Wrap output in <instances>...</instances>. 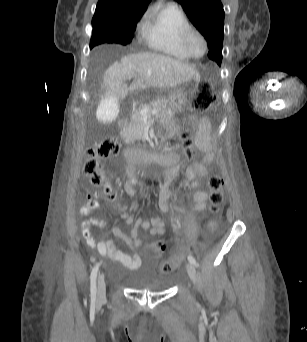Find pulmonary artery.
Returning <instances> with one entry per match:
<instances>
[{"label": "pulmonary artery", "instance_id": "1", "mask_svg": "<svg viewBox=\"0 0 307 342\" xmlns=\"http://www.w3.org/2000/svg\"><path fill=\"white\" fill-rule=\"evenodd\" d=\"M174 3H176V2H174ZM154 13H155V14H157V15H159V16H161V15H162V12H157V11H154Z\"/></svg>", "mask_w": 307, "mask_h": 342}]
</instances>
